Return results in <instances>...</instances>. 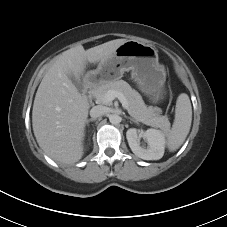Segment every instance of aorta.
Instances as JSON below:
<instances>
[{"label":"aorta","instance_id":"762f6f07","mask_svg":"<svg viewBox=\"0 0 227 227\" xmlns=\"http://www.w3.org/2000/svg\"><path fill=\"white\" fill-rule=\"evenodd\" d=\"M109 121H110L111 124L116 125V124L120 123L121 118L117 114H112V115L109 116Z\"/></svg>","mask_w":227,"mask_h":227}]
</instances>
